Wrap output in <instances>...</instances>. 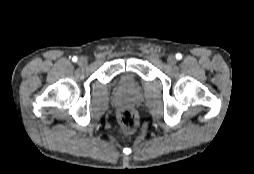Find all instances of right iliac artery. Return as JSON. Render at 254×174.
Returning a JSON list of instances; mask_svg holds the SVG:
<instances>
[{
	"instance_id": "82829eb1",
	"label": "right iliac artery",
	"mask_w": 254,
	"mask_h": 174,
	"mask_svg": "<svg viewBox=\"0 0 254 174\" xmlns=\"http://www.w3.org/2000/svg\"><path fill=\"white\" fill-rule=\"evenodd\" d=\"M72 61H73V62H76V61H77V57L74 56V57L72 58Z\"/></svg>"
}]
</instances>
